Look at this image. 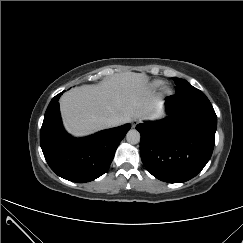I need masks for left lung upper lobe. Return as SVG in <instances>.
<instances>
[{
    "instance_id": "1",
    "label": "left lung upper lobe",
    "mask_w": 243,
    "mask_h": 243,
    "mask_svg": "<svg viewBox=\"0 0 243 243\" xmlns=\"http://www.w3.org/2000/svg\"><path fill=\"white\" fill-rule=\"evenodd\" d=\"M173 80L176 81V83H177L176 90H179V89L183 88L184 86H189L190 85L184 79L173 78ZM199 98H200V100L193 104L196 109H198V110H205V111H214L210 101L205 96V94L203 92H201V91L199 92Z\"/></svg>"
}]
</instances>
